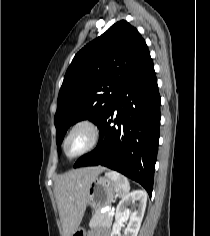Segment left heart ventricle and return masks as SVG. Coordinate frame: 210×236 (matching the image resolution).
<instances>
[{
	"label": "left heart ventricle",
	"instance_id": "1",
	"mask_svg": "<svg viewBox=\"0 0 210 236\" xmlns=\"http://www.w3.org/2000/svg\"><path fill=\"white\" fill-rule=\"evenodd\" d=\"M89 134L85 129H78L70 137L67 143V152L74 154L81 150L88 142Z\"/></svg>",
	"mask_w": 210,
	"mask_h": 236
}]
</instances>
